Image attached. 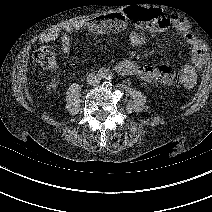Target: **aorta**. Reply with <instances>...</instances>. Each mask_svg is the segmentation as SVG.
Here are the masks:
<instances>
[{
	"mask_svg": "<svg viewBox=\"0 0 212 212\" xmlns=\"http://www.w3.org/2000/svg\"><path fill=\"white\" fill-rule=\"evenodd\" d=\"M105 78H106V79H110L111 76H110V75H105Z\"/></svg>",
	"mask_w": 212,
	"mask_h": 212,
	"instance_id": "1",
	"label": "aorta"
}]
</instances>
